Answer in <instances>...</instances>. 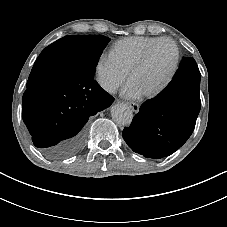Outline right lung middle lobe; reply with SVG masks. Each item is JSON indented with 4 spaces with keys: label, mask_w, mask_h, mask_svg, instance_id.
<instances>
[{
    "label": "right lung middle lobe",
    "mask_w": 227,
    "mask_h": 227,
    "mask_svg": "<svg viewBox=\"0 0 227 227\" xmlns=\"http://www.w3.org/2000/svg\"><path fill=\"white\" fill-rule=\"evenodd\" d=\"M109 41L103 35H67L46 47L36 62L46 57L58 75L71 80H94L95 67ZM51 71L35 63L26 87L42 83Z\"/></svg>",
    "instance_id": "dd1d6c3e"
}]
</instances>
